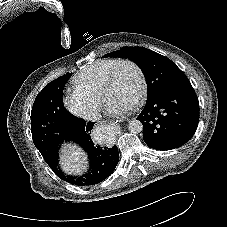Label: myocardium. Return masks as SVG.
Returning <instances> with one entry per match:
<instances>
[{
  "label": "myocardium",
  "instance_id": "myocardium-1",
  "mask_svg": "<svg viewBox=\"0 0 227 227\" xmlns=\"http://www.w3.org/2000/svg\"><path fill=\"white\" fill-rule=\"evenodd\" d=\"M125 65H130L133 68H135V70L137 71V73L139 75V79H140L139 92L137 94L136 99L131 104V107L135 108L144 100V98L147 94L148 83H147L146 74H145L143 68L136 61H134L132 59H122L112 68V70L108 74V76L103 84L102 91H101V98L103 101H106L108 91L113 86V84L118 76L119 71Z\"/></svg>",
  "mask_w": 227,
  "mask_h": 227
}]
</instances>
